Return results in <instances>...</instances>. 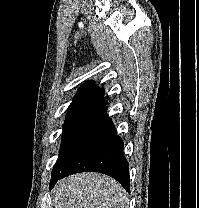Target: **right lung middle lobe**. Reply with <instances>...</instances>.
Masks as SVG:
<instances>
[{
  "label": "right lung middle lobe",
  "instance_id": "right-lung-middle-lobe-1",
  "mask_svg": "<svg viewBox=\"0 0 199 208\" xmlns=\"http://www.w3.org/2000/svg\"><path fill=\"white\" fill-rule=\"evenodd\" d=\"M100 111V109H87L67 113L63 126L60 154L53 167L52 177L58 174L72 159L86 131Z\"/></svg>",
  "mask_w": 199,
  "mask_h": 208
}]
</instances>
